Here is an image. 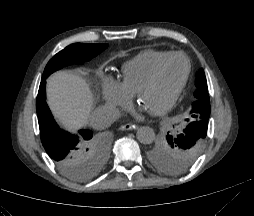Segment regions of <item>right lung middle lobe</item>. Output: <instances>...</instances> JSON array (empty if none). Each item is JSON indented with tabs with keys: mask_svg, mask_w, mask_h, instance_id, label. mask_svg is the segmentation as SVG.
Segmentation results:
<instances>
[{
	"mask_svg": "<svg viewBox=\"0 0 254 216\" xmlns=\"http://www.w3.org/2000/svg\"><path fill=\"white\" fill-rule=\"evenodd\" d=\"M108 47V44H72L57 53L47 64L42 79H46L54 71L70 64H83L89 61ZM93 162L91 174H84L79 167V162H73L68 167L60 168L70 178L75 180H87L96 175L107 159V146L103 142L94 139L90 151Z\"/></svg>",
	"mask_w": 254,
	"mask_h": 216,
	"instance_id": "right-lung-middle-lobe-1",
	"label": "right lung middle lobe"
}]
</instances>
